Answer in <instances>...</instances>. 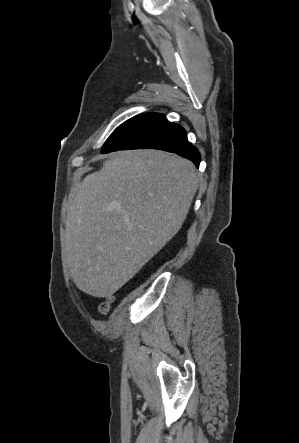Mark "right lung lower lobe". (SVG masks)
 Wrapping results in <instances>:
<instances>
[{
	"instance_id": "right-lung-lower-lobe-1",
	"label": "right lung lower lobe",
	"mask_w": 299,
	"mask_h": 443,
	"mask_svg": "<svg viewBox=\"0 0 299 443\" xmlns=\"http://www.w3.org/2000/svg\"><path fill=\"white\" fill-rule=\"evenodd\" d=\"M128 149H159L191 160L197 167L200 153L187 140L186 131L169 122L163 114L139 115L130 126L102 153Z\"/></svg>"
}]
</instances>
